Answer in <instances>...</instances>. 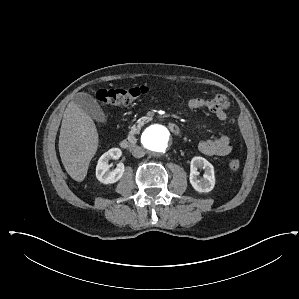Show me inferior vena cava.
<instances>
[{"instance_id":"inferior-vena-cava-1","label":"inferior vena cava","mask_w":299,"mask_h":299,"mask_svg":"<svg viewBox=\"0 0 299 299\" xmlns=\"http://www.w3.org/2000/svg\"><path fill=\"white\" fill-rule=\"evenodd\" d=\"M131 151L135 158H142L145 155V151L140 146H134Z\"/></svg>"}]
</instances>
